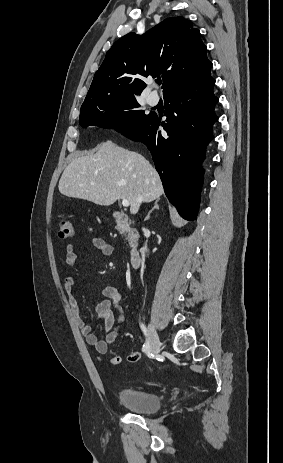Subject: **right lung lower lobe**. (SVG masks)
<instances>
[{"label": "right lung lower lobe", "instance_id": "obj_1", "mask_svg": "<svg viewBox=\"0 0 283 463\" xmlns=\"http://www.w3.org/2000/svg\"><path fill=\"white\" fill-rule=\"evenodd\" d=\"M215 80L208 76L200 82L183 85L164 94L165 122L156 114L128 138L143 142L152 154L165 194L187 220H196L199 194L203 184L201 163L205 147L212 140L211 129L217 117L218 102L213 94ZM162 126L165 133H161Z\"/></svg>", "mask_w": 283, "mask_h": 463}]
</instances>
